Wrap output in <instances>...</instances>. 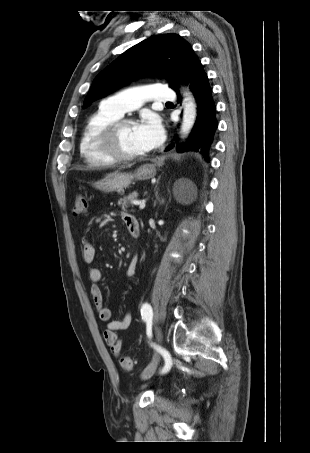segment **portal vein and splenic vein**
I'll list each match as a JSON object with an SVG mask.
<instances>
[{"label":"portal vein and splenic vein","mask_w":310,"mask_h":453,"mask_svg":"<svg viewBox=\"0 0 310 453\" xmlns=\"http://www.w3.org/2000/svg\"><path fill=\"white\" fill-rule=\"evenodd\" d=\"M132 204H134V205H139V208H140V209H144V208H145V205H146V204H145V201H136V200H135V201H132Z\"/></svg>","instance_id":"18ae733b"}]
</instances>
